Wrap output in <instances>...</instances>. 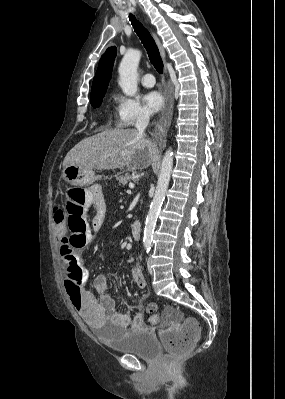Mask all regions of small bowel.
<instances>
[{"label":"small bowel","mask_w":285,"mask_h":399,"mask_svg":"<svg viewBox=\"0 0 285 399\" xmlns=\"http://www.w3.org/2000/svg\"><path fill=\"white\" fill-rule=\"evenodd\" d=\"M84 197V207L88 210L93 209L94 211L91 226L93 231L96 232L102 227L107 211L102 188L99 185H93L84 191ZM53 215L58 219L56 220L57 233L60 241L64 243L67 239V232L66 226L62 220L63 211L60 208H55L53 210ZM88 274V270L81 264H78V266L73 267L72 270H70L67 277L82 285L83 293L81 303L79 307L73 306L77 309L79 315L85 322L88 324H101L108 322L122 332L136 329H147L144 321V314L139 310L136 304L126 303L129 309L126 313H121L117 310L116 303L108 290V282L105 273L98 275L95 278L94 286L98 293L97 296H95L85 286V280L88 277ZM131 278L139 288H146V280L140 267L135 266L131 269Z\"/></svg>","instance_id":"small-bowel-1"}]
</instances>
